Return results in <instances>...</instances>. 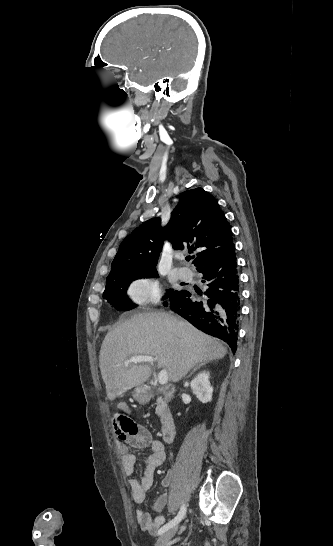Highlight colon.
Returning <instances> with one entry per match:
<instances>
[{
  "label": "colon",
  "instance_id": "5ec220e1",
  "mask_svg": "<svg viewBox=\"0 0 333 546\" xmlns=\"http://www.w3.org/2000/svg\"><path fill=\"white\" fill-rule=\"evenodd\" d=\"M113 428L120 442H127L135 430V424L123 413L116 411L112 415Z\"/></svg>",
  "mask_w": 333,
  "mask_h": 546
}]
</instances>
